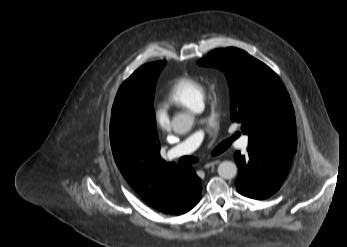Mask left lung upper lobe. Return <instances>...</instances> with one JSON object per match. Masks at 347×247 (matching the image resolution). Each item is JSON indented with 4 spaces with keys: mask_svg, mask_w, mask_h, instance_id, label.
I'll return each instance as SVG.
<instances>
[{
    "mask_svg": "<svg viewBox=\"0 0 347 247\" xmlns=\"http://www.w3.org/2000/svg\"><path fill=\"white\" fill-rule=\"evenodd\" d=\"M198 64L224 71L230 88L231 118L242 124L248 147L296 152L292 103L273 70L236 48L213 50Z\"/></svg>",
    "mask_w": 347,
    "mask_h": 247,
    "instance_id": "1",
    "label": "left lung upper lobe"
}]
</instances>
